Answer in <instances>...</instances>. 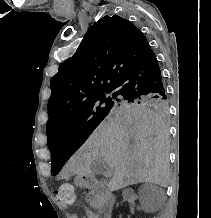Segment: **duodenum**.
Segmentation results:
<instances>
[{
    "label": "duodenum",
    "mask_w": 211,
    "mask_h": 218,
    "mask_svg": "<svg viewBox=\"0 0 211 218\" xmlns=\"http://www.w3.org/2000/svg\"><path fill=\"white\" fill-rule=\"evenodd\" d=\"M83 184L88 188L101 189V203L99 211L101 218H111L113 207L115 204V196L103 188L102 183L91 173L84 172L81 175Z\"/></svg>",
    "instance_id": "duodenum-1"
}]
</instances>
